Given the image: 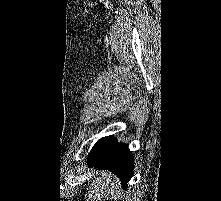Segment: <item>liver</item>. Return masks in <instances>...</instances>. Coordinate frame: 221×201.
<instances>
[{"label":"liver","mask_w":221,"mask_h":201,"mask_svg":"<svg viewBox=\"0 0 221 201\" xmlns=\"http://www.w3.org/2000/svg\"><path fill=\"white\" fill-rule=\"evenodd\" d=\"M119 179L109 171H96L86 194L88 201H102L110 192L117 189Z\"/></svg>","instance_id":"1"}]
</instances>
